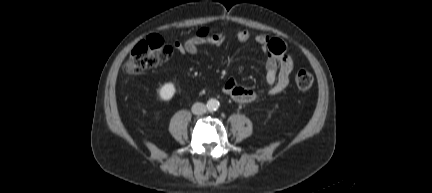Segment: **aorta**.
<instances>
[{
	"label": "aorta",
	"instance_id": "obj_1",
	"mask_svg": "<svg viewBox=\"0 0 432 193\" xmlns=\"http://www.w3.org/2000/svg\"><path fill=\"white\" fill-rule=\"evenodd\" d=\"M219 105H220V103H219V101L217 99H209L208 102H207V108L210 111L217 110L219 108Z\"/></svg>",
	"mask_w": 432,
	"mask_h": 193
}]
</instances>
